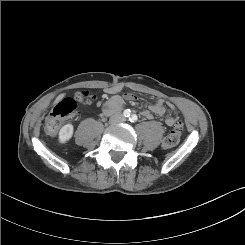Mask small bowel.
Instances as JSON below:
<instances>
[{
	"label": "small bowel",
	"mask_w": 245,
	"mask_h": 245,
	"mask_svg": "<svg viewBox=\"0 0 245 245\" xmlns=\"http://www.w3.org/2000/svg\"><path fill=\"white\" fill-rule=\"evenodd\" d=\"M118 90V87H112L107 90V93L112 94V96L103 106L104 115H109L112 112L121 109L124 104V99L130 102L136 101L137 97L131 93L125 94L124 99L121 96L116 95L115 93L118 92ZM167 105L170 109L176 111L175 106L172 103H168ZM165 111L166 109L163 100L158 99L152 102L147 110L142 111V115L147 119H152L154 115L163 116L165 114ZM176 122L177 121L170 116H167L165 118V123L168 126H173Z\"/></svg>",
	"instance_id": "c3829d8e"
}]
</instances>
